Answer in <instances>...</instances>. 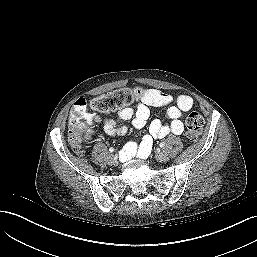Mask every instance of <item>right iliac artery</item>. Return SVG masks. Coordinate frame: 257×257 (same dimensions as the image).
Returning a JSON list of instances; mask_svg holds the SVG:
<instances>
[{
	"label": "right iliac artery",
	"mask_w": 257,
	"mask_h": 257,
	"mask_svg": "<svg viewBox=\"0 0 257 257\" xmlns=\"http://www.w3.org/2000/svg\"><path fill=\"white\" fill-rule=\"evenodd\" d=\"M113 151H114V148L109 149V152H113ZM121 155H122V152H120V158H121Z\"/></svg>",
	"instance_id": "1"
}]
</instances>
